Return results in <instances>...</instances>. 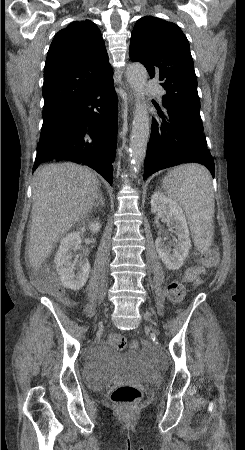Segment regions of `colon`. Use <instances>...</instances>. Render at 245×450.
<instances>
[{"mask_svg": "<svg viewBox=\"0 0 245 450\" xmlns=\"http://www.w3.org/2000/svg\"><path fill=\"white\" fill-rule=\"evenodd\" d=\"M218 251L214 248L208 249L201 254L195 261V267L202 269H211L217 265ZM37 287L51 295L62 297V289L56 283L55 276L49 272H43L37 278ZM167 296L173 304H182L186 298V288L180 280H172L167 287ZM110 343L118 350H125L128 347V341L120 335L110 336ZM142 396V391L129 384L118 385L111 392V402L121 409L130 408Z\"/></svg>", "mask_w": 245, "mask_h": 450, "instance_id": "obj_1", "label": "colon"}]
</instances>
